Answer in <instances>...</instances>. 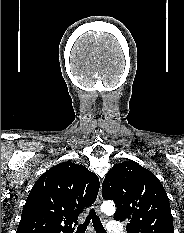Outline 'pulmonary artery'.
<instances>
[{"label":"pulmonary artery","mask_w":184,"mask_h":233,"mask_svg":"<svg viewBox=\"0 0 184 233\" xmlns=\"http://www.w3.org/2000/svg\"><path fill=\"white\" fill-rule=\"evenodd\" d=\"M107 233H124V228L121 223L111 221L107 224Z\"/></svg>","instance_id":"obj_1"}]
</instances>
